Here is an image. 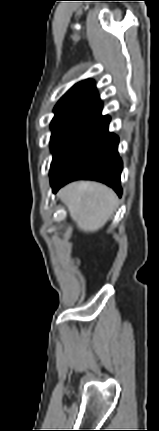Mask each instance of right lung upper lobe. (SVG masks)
I'll list each match as a JSON object with an SVG mask.
<instances>
[{
  "label": "right lung upper lobe",
  "instance_id": "right-lung-upper-lobe-1",
  "mask_svg": "<svg viewBox=\"0 0 159 431\" xmlns=\"http://www.w3.org/2000/svg\"><path fill=\"white\" fill-rule=\"evenodd\" d=\"M102 103L91 79L75 84L56 104L54 118L83 120L86 123L101 116Z\"/></svg>",
  "mask_w": 159,
  "mask_h": 431
}]
</instances>
